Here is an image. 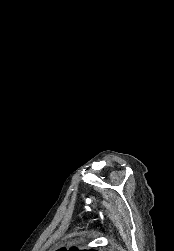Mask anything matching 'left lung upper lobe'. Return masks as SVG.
<instances>
[{"label": "left lung upper lobe", "instance_id": "5c2ea615", "mask_svg": "<svg viewBox=\"0 0 174 251\" xmlns=\"http://www.w3.org/2000/svg\"><path fill=\"white\" fill-rule=\"evenodd\" d=\"M58 251H67V250L65 248H62V249H60ZM69 251H78V250L75 249V248H71ZM83 251H96V250H83Z\"/></svg>", "mask_w": 174, "mask_h": 251}]
</instances>
